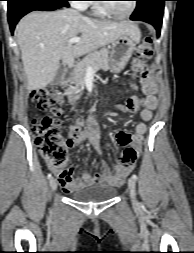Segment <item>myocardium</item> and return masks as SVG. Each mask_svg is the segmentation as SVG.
Instances as JSON below:
<instances>
[{
  "mask_svg": "<svg viewBox=\"0 0 194 253\" xmlns=\"http://www.w3.org/2000/svg\"><path fill=\"white\" fill-rule=\"evenodd\" d=\"M132 6L130 8V10L126 13V14H123V15H119V14H116L114 13L110 8L109 6L104 3V2H100L99 4H97L99 6V8L104 11L108 16L110 17H113L115 19H118V20H124V19H127L129 17L132 16V14L135 12L136 10V7H137V2L136 0H132Z\"/></svg>",
  "mask_w": 194,
  "mask_h": 253,
  "instance_id": "f54148a6",
  "label": "myocardium"
}]
</instances>
